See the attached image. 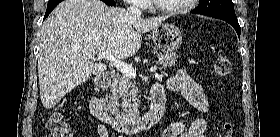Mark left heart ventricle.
<instances>
[{
  "label": "left heart ventricle",
  "instance_id": "b2bd125f",
  "mask_svg": "<svg viewBox=\"0 0 280 137\" xmlns=\"http://www.w3.org/2000/svg\"><path fill=\"white\" fill-rule=\"evenodd\" d=\"M158 4L166 8H173L181 6L184 3V0H156Z\"/></svg>",
  "mask_w": 280,
  "mask_h": 137
}]
</instances>
